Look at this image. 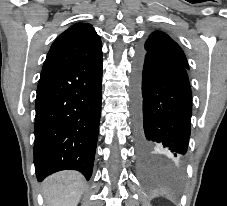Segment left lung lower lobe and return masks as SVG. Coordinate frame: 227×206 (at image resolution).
Instances as JSON below:
<instances>
[{"instance_id":"0a47b994","label":"left lung lower lobe","mask_w":227,"mask_h":206,"mask_svg":"<svg viewBox=\"0 0 227 206\" xmlns=\"http://www.w3.org/2000/svg\"><path fill=\"white\" fill-rule=\"evenodd\" d=\"M186 67L140 51L134 67L135 139L139 151L181 158L187 152L192 94Z\"/></svg>"}]
</instances>
